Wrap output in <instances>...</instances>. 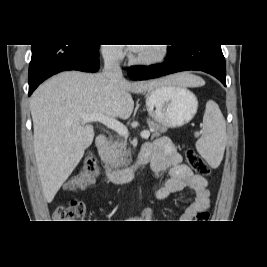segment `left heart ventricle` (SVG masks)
Instances as JSON below:
<instances>
[{"label":"left heart ventricle","instance_id":"1","mask_svg":"<svg viewBox=\"0 0 267 267\" xmlns=\"http://www.w3.org/2000/svg\"><path fill=\"white\" fill-rule=\"evenodd\" d=\"M158 51L157 46L141 47L137 51V55L141 57H148L156 54Z\"/></svg>","mask_w":267,"mask_h":267}]
</instances>
